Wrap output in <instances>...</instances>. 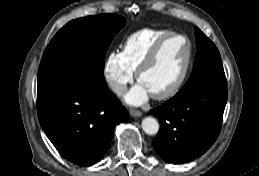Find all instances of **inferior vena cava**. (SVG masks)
<instances>
[{
    "label": "inferior vena cava",
    "mask_w": 259,
    "mask_h": 176,
    "mask_svg": "<svg viewBox=\"0 0 259 176\" xmlns=\"http://www.w3.org/2000/svg\"><path fill=\"white\" fill-rule=\"evenodd\" d=\"M112 89L117 93V94H123L127 91V87L125 85H122L120 83H112Z\"/></svg>",
    "instance_id": "obj_1"
}]
</instances>
